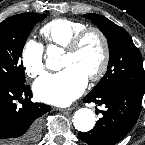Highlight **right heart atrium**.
I'll use <instances>...</instances> for the list:
<instances>
[{"instance_id": "1", "label": "right heart atrium", "mask_w": 145, "mask_h": 145, "mask_svg": "<svg viewBox=\"0 0 145 145\" xmlns=\"http://www.w3.org/2000/svg\"><path fill=\"white\" fill-rule=\"evenodd\" d=\"M21 62L26 74L35 78L45 72L43 45L33 39L28 40L21 52Z\"/></svg>"}]
</instances>
